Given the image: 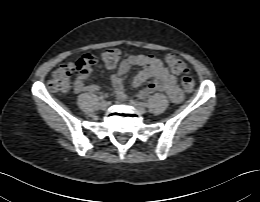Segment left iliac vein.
<instances>
[{
    "mask_svg": "<svg viewBox=\"0 0 260 202\" xmlns=\"http://www.w3.org/2000/svg\"><path fill=\"white\" fill-rule=\"evenodd\" d=\"M129 104L132 107H134L135 109H137L140 113H145L146 112V109L144 108V106L141 105L140 103L136 102V101L130 100Z\"/></svg>",
    "mask_w": 260,
    "mask_h": 202,
    "instance_id": "left-iliac-vein-1",
    "label": "left iliac vein"
}]
</instances>
